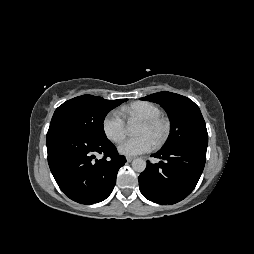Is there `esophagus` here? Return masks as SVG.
<instances>
[{"label": "esophagus", "mask_w": 254, "mask_h": 254, "mask_svg": "<svg viewBox=\"0 0 254 254\" xmlns=\"http://www.w3.org/2000/svg\"><path fill=\"white\" fill-rule=\"evenodd\" d=\"M133 159V157H126L127 162H131Z\"/></svg>", "instance_id": "34e87169"}]
</instances>
